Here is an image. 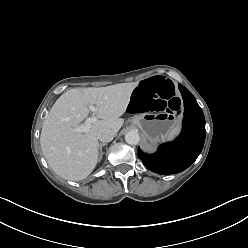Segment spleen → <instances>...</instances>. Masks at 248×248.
Listing matches in <instances>:
<instances>
[{"instance_id":"spleen-1","label":"spleen","mask_w":248,"mask_h":248,"mask_svg":"<svg viewBox=\"0 0 248 248\" xmlns=\"http://www.w3.org/2000/svg\"><path fill=\"white\" fill-rule=\"evenodd\" d=\"M178 132H179V126L176 125L172 128V130L168 134L167 139L168 140L172 139L176 134H178Z\"/></svg>"}]
</instances>
